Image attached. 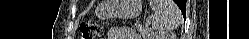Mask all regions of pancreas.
Instances as JSON below:
<instances>
[{"mask_svg":"<svg viewBox=\"0 0 249 39\" xmlns=\"http://www.w3.org/2000/svg\"><path fill=\"white\" fill-rule=\"evenodd\" d=\"M136 28L142 36H144V37L150 36V30L148 28H145L141 25H136Z\"/></svg>","mask_w":249,"mask_h":39,"instance_id":"cf45deb5","label":"pancreas"}]
</instances>
